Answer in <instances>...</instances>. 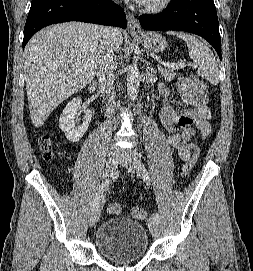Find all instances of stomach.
Masks as SVG:
<instances>
[{
	"label": "stomach",
	"mask_w": 253,
	"mask_h": 271,
	"mask_svg": "<svg viewBox=\"0 0 253 271\" xmlns=\"http://www.w3.org/2000/svg\"><path fill=\"white\" fill-rule=\"evenodd\" d=\"M133 36L141 41L144 47L149 51L160 52L167 47V41L159 33L146 32L138 36L133 34Z\"/></svg>",
	"instance_id": "obj_1"
}]
</instances>
